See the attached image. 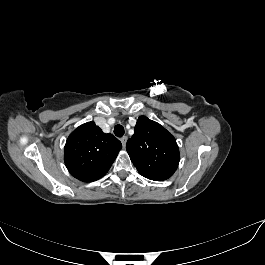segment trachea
<instances>
[{"label":"trachea","mask_w":265,"mask_h":265,"mask_svg":"<svg viewBox=\"0 0 265 265\" xmlns=\"http://www.w3.org/2000/svg\"><path fill=\"white\" fill-rule=\"evenodd\" d=\"M124 127L122 125H116L114 128V134L117 137H122L124 135Z\"/></svg>","instance_id":"1"}]
</instances>
